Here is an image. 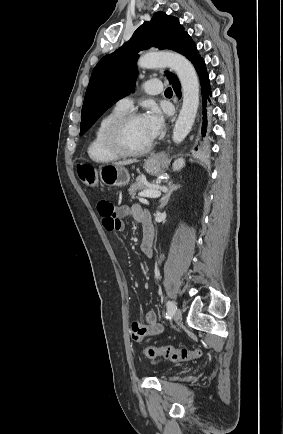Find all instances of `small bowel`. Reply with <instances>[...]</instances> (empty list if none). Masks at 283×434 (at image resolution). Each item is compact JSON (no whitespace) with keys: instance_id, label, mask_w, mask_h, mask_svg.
<instances>
[{"instance_id":"c3829d8e","label":"small bowel","mask_w":283,"mask_h":434,"mask_svg":"<svg viewBox=\"0 0 283 434\" xmlns=\"http://www.w3.org/2000/svg\"><path fill=\"white\" fill-rule=\"evenodd\" d=\"M97 210L102 217L104 228L109 232L122 231L125 226L124 220L130 216L142 225H150L148 213L139 205L117 207L111 201L103 198L97 202ZM141 249L148 257L152 256V244L143 241ZM162 332L163 326L157 322L156 315L152 311L144 314V323L133 322L131 325V335L136 341L159 335Z\"/></svg>"}]
</instances>
